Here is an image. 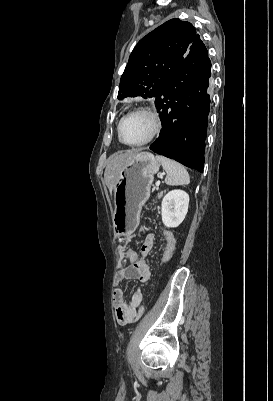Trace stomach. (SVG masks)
Listing matches in <instances>:
<instances>
[{
    "instance_id": "obj_1",
    "label": "stomach",
    "mask_w": 273,
    "mask_h": 401,
    "mask_svg": "<svg viewBox=\"0 0 273 401\" xmlns=\"http://www.w3.org/2000/svg\"><path fill=\"white\" fill-rule=\"evenodd\" d=\"M159 166L156 156L145 150L121 168L113 188L115 211L112 221L115 237H128L136 231L141 209L148 201L154 174L158 172Z\"/></svg>"
}]
</instances>
